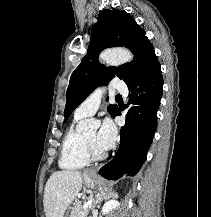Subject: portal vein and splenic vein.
Masks as SVG:
<instances>
[{
  "label": "portal vein and splenic vein",
  "instance_id": "portal-vein-and-splenic-vein-1",
  "mask_svg": "<svg viewBox=\"0 0 211 217\" xmlns=\"http://www.w3.org/2000/svg\"><path fill=\"white\" fill-rule=\"evenodd\" d=\"M93 201H94V199L90 198L87 202H85L83 205V210H86L89 206H91Z\"/></svg>",
  "mask_w": 211,
  "mask_h": 217
}]
</instances>
